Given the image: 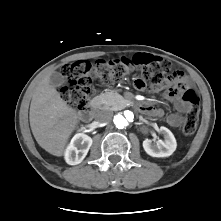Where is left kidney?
Instances as JSON below:
<instances>
[{"label": "left kidney", "instance_id": "1", "mask_svg": "<svg viewBox=\"0 0 221 221\" xmlns=\"http://www.w3.org/2000/svg\"><path fill=\"white\" fill-rule=\"evenodd\" d=\"M160 132L164 136V141L160 140L156 145H153L151 140L143 141L145 152L152 157H168L176 150L177 142L173 133L166 127H160Z\"/></svg>", "mask_w": 221, "mask_h": 221}]
</instances>
